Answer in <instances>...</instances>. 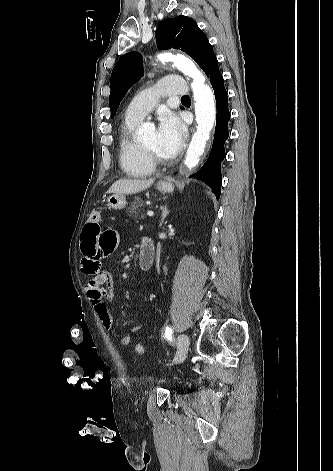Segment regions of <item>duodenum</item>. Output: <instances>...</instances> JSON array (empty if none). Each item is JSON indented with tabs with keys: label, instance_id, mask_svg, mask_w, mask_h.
<instances>
[{
	"label": "duodenum",
	"instance_id": "duodenum-1",
	"mask_svg": "<svg viewBox=\"0 0 333 471\" xmlns=\"http://www.w3.org/2000/svg\"><path fill=\"white\" fill-rule=\"evenodd\" d=\"M155 250L152 241L144 240L141 244L138 266L141 270H148L154 261Z\"/></svg>",
	"mask_w": 333,
	"mask_h": 471
}]
</instances>
